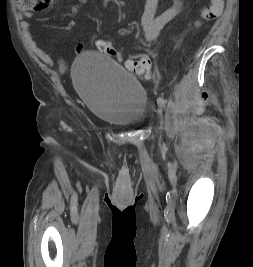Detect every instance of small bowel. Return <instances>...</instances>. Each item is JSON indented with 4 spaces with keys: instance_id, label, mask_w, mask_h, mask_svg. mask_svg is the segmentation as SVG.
<instances>
[{
    "instance_id": "obj_1",
    "label": "small bowel",
    "mask_w": 253,
    "mask_h": 267,
    "mask_svg": "<svg viewBox=\"0 0 253 267\" xmlns=\"http://www.w3.org/2000/svg\"><path fill=\"white\" fill-rule=\"evenodd\" d=\"M76 1L77 3L71 7V12L73 14L79 13L81 8L86 5L89 0ZM158 3L159 0H146L145 10L140 20L145 37L148 41L155 40L159 36L164 26L175 17H177L181 13L183 8V3L181 0H173V5L170 8L166 9L160 14H157ZM26 15L30 16V14ZM20 25L23 38L30 49L44 62H51L50 55L46 51L41 49L34 41L31 35L30 23L27 21H22ZM76 50L78 53L82 52L84 50L83 45L78 44ZM61 63L63 62L61 61Z\"/></svg>"
}]
</instances>
